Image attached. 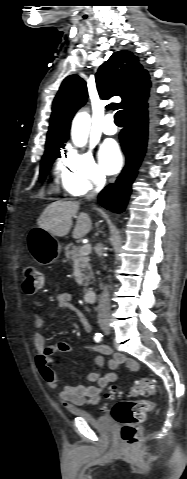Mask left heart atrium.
Returning <instances> with one entry per match:
<instances>
[{"label":"left heart atrium","mask_w":187,"mask_h":479,"mask_svg":"<svg viewBox=\"0 0 187 479\" xmlns=\"http://www.w3.org/2000/svg\"><path fill=\"white\" fill-rule=\"evenodd\" d=\"M99 158L103 169L109 174L117 173L122 167V156L115 143H105L100 149Z\"/></svg>","instance_id":"obj_1"}]
</instances>
